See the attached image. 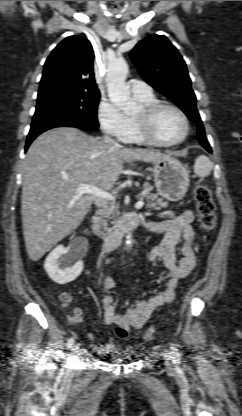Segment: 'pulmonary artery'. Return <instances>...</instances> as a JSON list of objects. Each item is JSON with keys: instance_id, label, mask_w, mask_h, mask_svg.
I'll list each match as a JSON object with an SVG mask.
<instances>
[{"instance_id": "obj_1", "label": "pulmonary artery", "mask_w": 242, "mask_h": 416, "mask_svg": "<svg viewBox=\"0 0 242 416\" xmlns=\"http://www.w3.org/2000/svg\"><path fill=\"white\" fill-rule=\"evenodd\" d=\"M128 84L130 86V90L135 97H144L149 96L152 94V88L150 85L143 81L139 80H129Z\"/></svg>"}]
</instances>
